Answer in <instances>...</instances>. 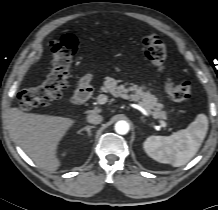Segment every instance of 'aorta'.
I'll return each mask as SVG.
<instances>
[{"instance_id":"1","label":"aorta","mask_w":218,"mask_h":210,"mask_svg":"<svg viewBox=\"0 0 218 210\" xmlns=\"http://www.w3.org/2000/svg\"><path fill=\"white\" fill-rule=\"evenodd\" d=\"M115 131L121 135L127 134L129 131V124L124 120L118 121L115 124Z\"/></svg>"}]
</instances>
